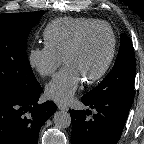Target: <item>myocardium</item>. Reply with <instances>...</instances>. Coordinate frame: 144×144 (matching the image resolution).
<instances>
[{
    "label": "myocardium",
    "mask_w": 144,
    "mask_h": 144,
    "mask_svg": "<svg viewBox=\"0 0 144 144\" xmlns=\"http://www.w3.org/2000/svg\"><path fill=\"white\" fill-rule=\"evenodd\" d=\"M101 27L107 28L109 30L110 35H111L110 53L108 55L106 62L103 65V67L101 68V70L97 74L92 76L91 78L84 80V82L86 84H93V83H96L99 80H101L105 76V74L108 72V70H109V68H110V66L114 60L116 50H117V38H116V34H115L113 27L109 23L104 22V21H99V22H96V23H93L91 25L84 27L83 29H81L77 33V35L75 36V38L73 39V41L71 42L69 47L67 48V50L64 54V57H63L64 62L66 63L68 58L78 49V47L82 43L85 36L89 32H91L95 29L101 28Z\"/></svg>",
    "instance_id": "1"
}]
</instances>
